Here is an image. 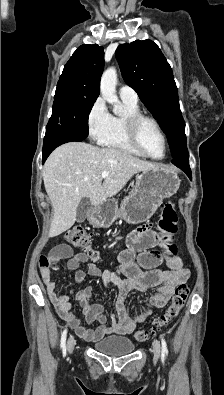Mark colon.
Returning <instances> with one entry per match:
<instances>
[{"label": "colon", "mask_w": 224, "mask_h": 395, "mask_svg": "<svg viewBox=\"0 0 224 395\" xmlns=\"http://www.w3.org/2000/svg\"><path fill=\"white\" fill-rule=\"evenodd\" d=\"M177 221L178 214L175 205L173 203L165 204L162 208V214L158 225L160 230L165 234L163 238V248L170 255H174L177 250L173 243L174 235L178 230ZM65 239L71 245L81 248L92 260L97 261L99 259L98 253L90 242L88 233L82 227H74L68 230L65 234ZM39 264L41 269H50L54 266L55 259L48 256H41ZM189 291L190 289L187 283L182 282L178 284L169 307L154 321L151 329L137 330L134 335L135 339L139 342H144L149 338L150 334L155 333L157 329L171 323L184 306Z\"/></svg>", "instance_id": "obj_1"}]
</instances>
